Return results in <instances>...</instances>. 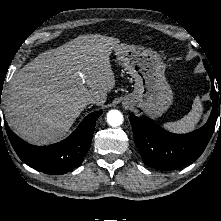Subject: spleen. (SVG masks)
<instances>
[{"mask_svg": "<svg viewBox=\"0 0 221 221\" xmlns=\"http://www.w3.org/2000/svg\"><path fill=\"white\" fill-rule=\"evenodd\" d=\"M202 112V103L199 97H196L191 111L186 116L176 122H167L164 124V127L173 133H187L196 127L202 116Z\"/></svg>", "mask_w": 221, "mask_h": 221, "instance_id": "spleen-1", "label": "spleen"}]
</instances>
